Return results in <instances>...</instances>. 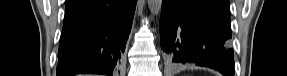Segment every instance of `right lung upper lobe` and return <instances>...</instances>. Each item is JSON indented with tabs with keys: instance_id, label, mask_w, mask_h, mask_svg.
<instances>
[{
	"instance_id": "right-lung-upper-lobe-1",
	"label": "right lung upper lobe",
	"mask_w": 287,
	"mask_h": 76,
	"mask_svg": "<svg viewBox=\"0 0 287 76\" xmlns=\"http://www.w3.org/2000/svg\"><path fill=\"white\" fill-rule=\"evenodd\" d=\"M74 0H66L67 5H69L70 3H72Z\"/></svg>"
}]
</instances>
